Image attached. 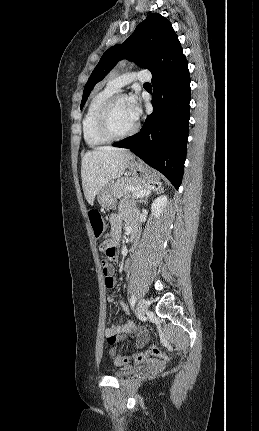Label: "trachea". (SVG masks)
<instances>
[{
	"label": "trachea",
	"instance_id": "trachea-1",
	"mask_svg": "<svg viewBox=\"0 0 259 431\" xmlns=\"http://www.w3.org/2000/svg\"><path fill=\"white\" fill-rule=\"evenodd\" d=\"M145 85H150V83H145Z\"/></svg>",
	"mask_w": 259,
	"mask_h": 431
}]
</instances>
